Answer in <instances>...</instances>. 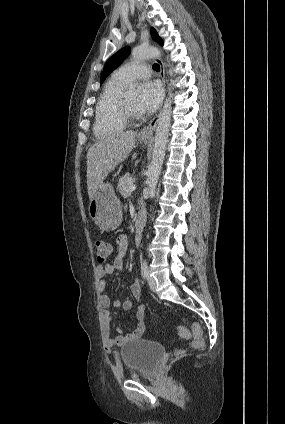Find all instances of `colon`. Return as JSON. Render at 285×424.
Here are the masks:
<instances>
[{"mask_svg": "<svg viewBox=\"0 0 285 424\" xmlns=\"http://www.w3.org/2000/svg\"><path fill=\"white\" fill-rule=\"evenodd\" d=\"M94 250L96 253L97 260L99 262L106 261L111 254L113 253V246L103 240H95ZM181 338L187 339L190 334L185 328L177 329ZM192 334H193V346L195 348H201L204 345V331L198 323H193L192 325Z\"/></svg>", "mask_w": 285, "mask_h": 424, "instance_id": "colon-1", "label": "colon"}]
</instances>
